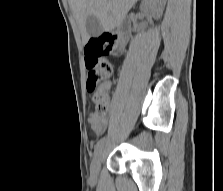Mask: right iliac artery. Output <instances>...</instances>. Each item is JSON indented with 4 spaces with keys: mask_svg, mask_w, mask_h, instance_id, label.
Segmentation results:
<instances>
[{
    "mask_svg": "<svg viewBox=\"0 0 223 191\" xmlns=\"http://www.w3.org/2000/svg\"><path fill=\"white\" fill-rule=\"evenodd\" d=\"M105 141H106V138L103 137V138H101V139L97 142V144H96L95 147H94V153H97V152L102 148V146L104 145Z\"/></svg>",
    "mask_w": 223,
    "mask_h": 191,
    "instance_id": "right-iliac-artery-1",
    "label": "right iliac artery"
}]
</instances>
